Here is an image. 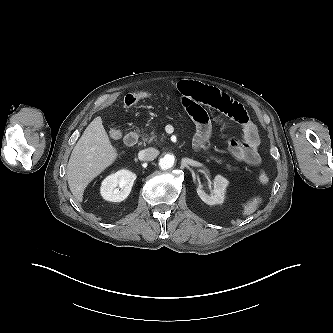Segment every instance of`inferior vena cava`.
Listing matches in <instances>:
<instances>
[{
  "label": "inferior vena cava",
  "instance_id": "602c4592",
  "mask_svg": "<svg viewBox=\"0 0 333 333\" xmlns=\"http://www.w3.org/2000/svg\"><path fill=\"white\" fill-rule=\"evenodd\" d=\"M143 159L146 161H152L154 160L158 155L159 151L155 148H147L142 151Z\"/></svg>",
  "mask_w": 333,
  "mask_h": 333
}]
</instances>
